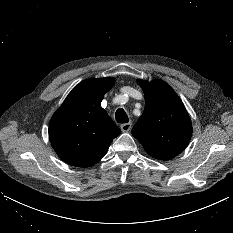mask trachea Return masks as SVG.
<instances>
[{"label":"trachea","mask_w":233,"mask_h":233,"mask_svg":"<svg viewBox=\"0 0 233 233\" xmlns=\"http://www.w3.org/2000/svg\"><path fill=\"white\" fill-rule=\"evenodd\" d=\"M116 121L118 123H128L129 118L123 108H119L115 114Z\"/></svg>","instance_id":"obj_1"}]
</instances>
